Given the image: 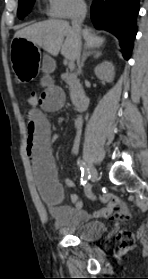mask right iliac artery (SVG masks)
<instances>
[{
	"label": "right iliac artery",
	"instance_id": "obj_1",
	"mask_svg": "<svg viewBox=\"0 0 148 279\" xmlns=\"http://www.w3.org/2000/svg\"><path fill=\"white\" fill-rule=\"evenodd\" d=\"M81 167V185H85L87 183V180L90 178V175H89V169L85 166L84 163H81V162H78ZM88 196H92L91 194V187H88V193H87ZM92 198V197H91Z\"/></svg>",
	"mask_w": 148,
	"mask_h": 279
}]
</instances>
